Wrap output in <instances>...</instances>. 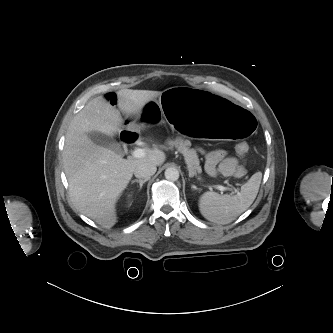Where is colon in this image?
<instances>
[{"instance_id":"obj_1","label":"colon","mask_w":333,"mask_h":333,"mask_svg":"<svg viewBox=\"0 0 333 333\" xmlns=\"http://www.w3.org/2000/svg\"><path fill=\"white\" fill-rule=\"evenodd\" d=\"M249 147L246 143L241 142L236 146V151L237 154L241 157L246 156V154L248 153ZM247 171L243 166H239L235 172L234 175L238 178L244 177L246 175Z\"/></svg>"}]
</instances>
